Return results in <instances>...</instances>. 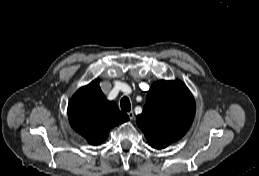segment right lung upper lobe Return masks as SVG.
Segmentation results:
<instances>
[{"mask_svg": "<svg viewBox=\"0 0 259 176\" xmlns=\"http://www.w3.org/2000/svg\"><path fill=\"white\" fill-rule=\"evenodd\" d=\"M68 117L73 129L92 145L101 144L111 128L129 120L115 102L106 99L98 80L74 94L68 105Z\"/></svg>", "mask_w": 259, "mask_h": 176, "instance_id": "cb5924a9", "label": "right lung upper lobe"}]
</instances>
